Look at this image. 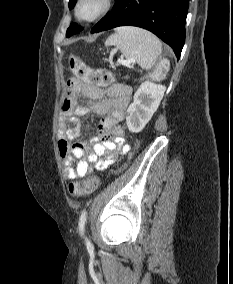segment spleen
<instances>
[{
	"mask_svg": "<svg viewBox=\"0 0 233 284\" xmlns=\"http://www.w3.org/2000/svg\"><path fill=\"white\" fill-rule=\"evenodd\" d=\"M106 46H116L128 59L136 61L141 68L149 70L156 66L162 52L160 40L144 29L132 26H123L116 29L105 42ZM159 75L167 72V67L156 66Z\"/></svg>",
	"mask_w": 233,
	"mask_h": 284,
	"instance_id": "obj_1",
	"label": "spleen"
}]
</instances>
